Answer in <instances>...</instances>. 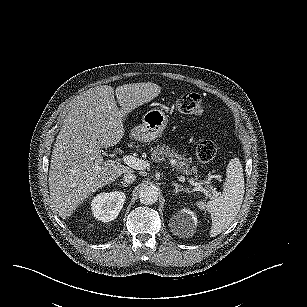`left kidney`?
<instances>
[{
  "mask_svg": "<svg viewBox=\"0 0 307 307\" xmlns=\"http://www.w3.org/2000/svg\"><path fill=\"white\" fill-rule=\"evenodd\" d=\"M172 220L175 222L172 231L179 237H192L197 228V217L195 213L189 209H181L176 213Z\"/></svg>",
  "mask_w": 307,
  "mask_h": 307,
  "instance_id": "5707ae66",
  "label": "left kidney"
}]
</instances>
